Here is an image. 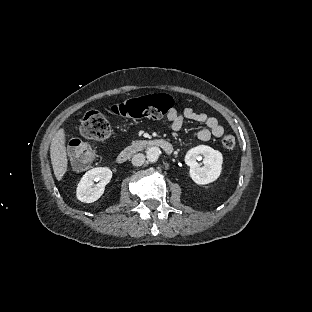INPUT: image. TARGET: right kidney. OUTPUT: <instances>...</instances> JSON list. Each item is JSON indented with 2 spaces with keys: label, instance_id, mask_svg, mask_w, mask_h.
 I'll use <instances>...</instances> for the list:
<instances>
[{
  "label": "right kidney",
  "instance_id": "1",
  "mask_svg": "<svg viewBox=\"0 0 312 312\" xmlns=\"http://www.w3.org/2000/svg\"><path fill=\"white\" fill-rule=\"evenodd\" d=\"M112 179V171L108 167H96L87 171L76 187V197L83 203H93L104 193L105 186ZM99 182L95 184L94 182Z\"/></svg>",
  "mask_w": 312,
  "mask_h": 312
}]
</instances>
